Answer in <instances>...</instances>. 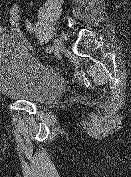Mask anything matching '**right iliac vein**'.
Instances as JSON below:
<instances>
[{"label": "right iliac vein", "instance_id": "obj_1", "mask_svg": "<svg viewBox=\"0 0 131 177\" xmlns=\"http://www.w3.org/2000/svg\"><path fill=\"white\" fill-rule=\"evenodd\" d=\"M53 46H54L55 51H61L64 49L63 43L58 39L54 40Z\"/></svg>", "mask_w": 131, "mask_h": 177}]
</instances>
